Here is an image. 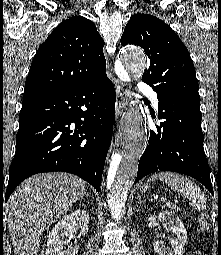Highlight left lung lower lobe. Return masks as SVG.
Instances as JSON below:
<instances>
[{"instance_id":"left-lung-lower-lobe-1","label":"left lung lower lobe","mask_w":221,"mask_h":255,"mask_svg":"<svg viewBox=\"0 0 221 255\" xmlns=\"http://www.w3.org/2000/svg\"><path fill=\"white\" fill-rule=\"evenodd\" d=\"M164 122L150 130L149 144L139 161L135 183L158 170L189 175L213 194L209 165L203 150L200 111L171 101H159Z\"/></svg>"}]
</instances>
